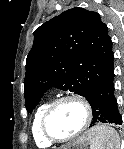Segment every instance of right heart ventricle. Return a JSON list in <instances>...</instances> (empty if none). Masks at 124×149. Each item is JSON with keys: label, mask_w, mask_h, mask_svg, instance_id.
<instances>
[{"label": "right heart ventricle", "mask_w": 124, "mask_h": 149, "mask_svg": "<svg viewBox=\"0 0 124 149\" xmlns=\"http://www.w3.org/2000/svg\"><path fill=\"white\" fill-rule=\"evenodd\" d=\"M49 105H50V101H46L41 105H39L35 110V113L33 115V119L31 122V132H32L34 142L40 148H47L52 145V143L43 136L41 131L42 117Z\"/></svg>", "instance_id": "obj_1"}]
</instances>
